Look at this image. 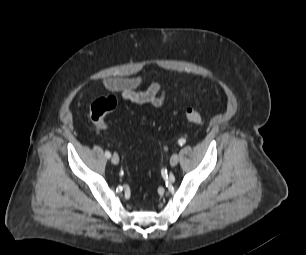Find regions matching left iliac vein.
Instances as JSON below:
<instances>
[{
  "instance_id": "left-iliac-vein-1",
  "label": "left iliac vein",
  "mask_w": 306,
  "mask_h": 255,
  "mask_svg": "<svg viewBox=\"0 0 306 255\" xmlns=\"http://www.w3.org/2000/svg\"><path fill=\"white\" fill-rule=\"evenodd\" d=\"M178 161H179V155L178 154H173L170 158V165L172 167H174L178 164Z\"/></svg>"
}]
</instances>
